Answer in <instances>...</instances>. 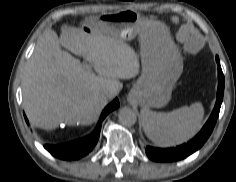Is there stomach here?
<instances>
[{
    "instance_id": "stomach-1",
    "label": "stomach",
    "mask_w": 236,
    "mask_h": 182,
    "mask_svg": "<svg viewBox=\"0 0 236 182\" xmlns=\"http://www.w3.org/2000/svg\"><path fill=\"white\" fill-rule=\"evenodd\" d=\"M89 23L95 31L120 40L140 36L144 46L141 51L142 73L128 99L143 108L165 106L171 98L174 83L183 71L181 53L165 24L141 16L134 10H124L114 15H94Z\"/></svg>"
}]
</instances>
